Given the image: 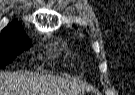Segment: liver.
I'll use <instances>...</instances> for the list:
<instances>
[{
  "label": "liver",
  "mask_w": 135,
  "mask_h": 95,
  "mask_svg": "<svg viewBox=\"0 0 135 95\" xmlns=\"http://www.w3.org/2000/svg\"><path fill=\"white\" fill-rule=\"evenodd\" d=\"M85 86L59 76L0 71V95H81Z\"/></svg>",
  "instance_id": "obj_1"
}]
</instances>
